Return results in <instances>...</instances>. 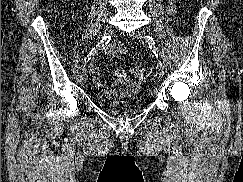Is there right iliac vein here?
Listing matches in <instances>:
<instances>
[{"label":"right iliac vein","mask_w":243,"mask_h":182,"mask_svg":"<svg viewBox=\"0 0 243 182\" xmlns=\"http://www.w3.org/2000/svg\"><path fill=\"white\" fill-rule=\"evenodd\" d=\"M114 30H113V27L111 25H107L104 29V35L105 36H111L113 34ZM88 80V74H87V71H86V68L83 67L81 72H80V81L81 83H86Z\"/></svg>","instance_id":"obj_1"}]
</instances>
